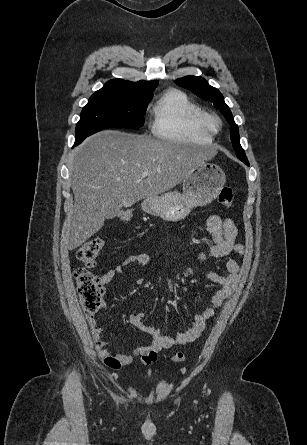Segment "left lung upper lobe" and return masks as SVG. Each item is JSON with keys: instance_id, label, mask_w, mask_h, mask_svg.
<instances>
[{"instance_id": "left-lung-upper-lobe-1", "label": "left lung upper lobe", "mask_w": 307, "mask_h": 445, "mask_svg": "<svg viewBox=\"0 0 307 445\" xmlns=\"http://www.w3.org/2000/svg\"><path fill=\"white\" fill-rule=\"evenodd\" d=\"M175 83L181 87L191 90L198 97L214 103V106L220 110L228 123L231 125L230 137L237 157L248 165V160L239 142L238 126L234 122L232 113L227 104L224 102V98L219 90L210 86L204 78L197 76H186L179 78L175 81Z\"/></svg>"}]
</instances>
